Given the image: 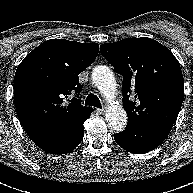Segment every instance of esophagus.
<instances>
[{
	"label": "esophagus",
	"mask_w": 193,
	"mask_h": 193,
	"mask_svg": "<svg viewBox=\"0 0 193 193\" xmlns=\"http://www.w3.org/2000/svg\"><path fill=\"white\" fill-rule=\"evenodd\" d=\"M104 110H105V107H102V108H100V109H97V111H98L99 113H103Z\"/></svg>",
	"instance_id": "obj_1"
}]
</instances>
